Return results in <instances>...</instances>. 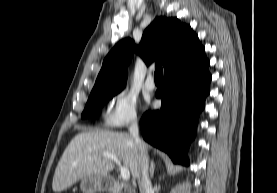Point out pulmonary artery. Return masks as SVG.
<instances>
[{"instance_id": "obj_1", "label": "pulmonary artery", "mask_w": 277, "mask_h": 193, "mask_svg": "<svg viewBox=\"0 0 277 193\" xmlns=\"http://www.w3.org/2000/svg\"><path fill=\"white\" fill-rule=\"evenodd\" d=\"M145 88L149 91H152L155 89V82L152 75H149L145 82Z\"/></svg>"}]
</instances>
